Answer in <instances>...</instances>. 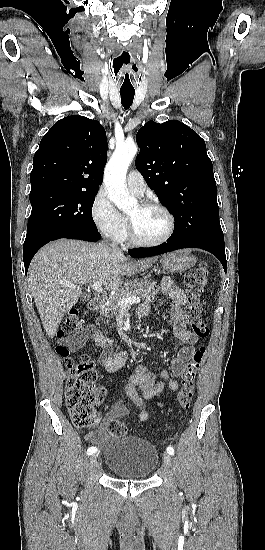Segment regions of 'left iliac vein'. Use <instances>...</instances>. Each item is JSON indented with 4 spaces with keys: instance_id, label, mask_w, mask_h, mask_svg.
<instances>
[{
    "instance_id": "left-iliac-vein-1",
    "label": "left iliac vein",
    "mask_w": 265,
    "mask_h": 550,
    "mask_svg": "<svg viewBox=\"0 0 265 550\" xmlns=\"http://www.w3.org/2000/svg\"><path fill=\"white\" fill-rule=\"evenodd\" d=\"M172 464V459H171V456L167 453L164 454V457H163V466L164 468H169Z\"/></svg>"
}]
</instances>
